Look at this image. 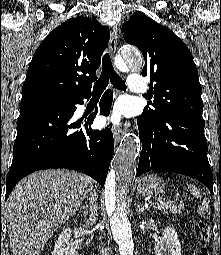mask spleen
<instances>
[{"instance_id":"3e777b00","label":"spleen","mask_w":221,"mask_h":255,"mask_svg":"<svg viewBox=\"0 0 221 255\" xmlns=\"http://www.w3.org/2000/svg\"><path fill=\"white\" fill-rule=\"evenodd\" d=\"M188 188L196 198H201L200 191L197 188H195V186L188 185Z\"/></svg>"}]
</instances>
